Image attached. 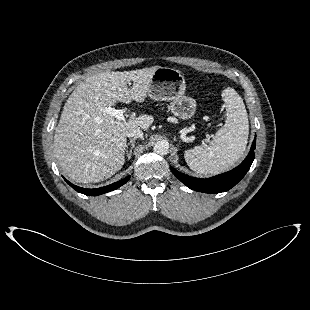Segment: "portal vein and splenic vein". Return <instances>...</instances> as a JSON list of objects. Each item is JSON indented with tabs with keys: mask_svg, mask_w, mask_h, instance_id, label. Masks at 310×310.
<instances>
[{
	"mask_svg": "<svg viewBox=\"0 0 310 310\" xmlns=\"http://www.w3.org/2000/svg\"><path fill=\"white\" fill-rule=\"evenodd\" d=\"M104 111L107 114L115 117L117 120H123V121L125 120V116H124L125 115V111L122 110V109H115V108H112V107L108 106V107H106L104 109Z\"/></svg>",
	"mask_w": 310,
	"mask_h": 310,
	"instance_id": "1",
	"label": "portal vein and splenic vein"
}]
</instances>
